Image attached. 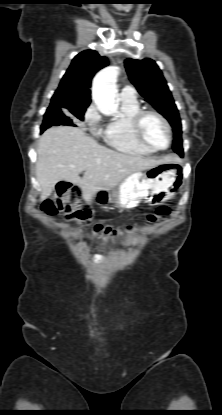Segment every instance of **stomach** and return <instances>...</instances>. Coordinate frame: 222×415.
Here are the masks:
<instances>
[{
	"instance_id": "1",
	"label": "stomach",
	"mask_w": 222,
	"mask_h": 415,
	"mask_svg": "<svg viewBox=\"0 0 222 415\" xmlns=\"http://www.w3.org/2000/svg\"><path fill=\"white\" fill-rule=\"evenodd\" d=\"M183 165L171 161L156 165L145 172H135L109 192L98 190L94 199L102 206L113 203L121 209H134L142 200L150 205L163 204L172 198L182 186Z\"/></svg>"
}]
</instances>
